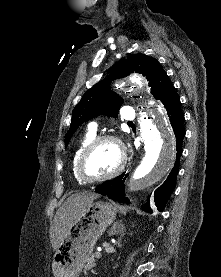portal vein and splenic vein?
Wrapping results in <instances>:
<instances>
[{"label":"portal vein and splenic vein","mask_w":221,"mask_h":277,"mask_svg":"<svg viewBox=\"0 0 221 277\" xmlns=\"http://www.w3.org/2000/svg\"><path fill=\"white\" fill-rule=\"evenodd\" d=\"M95 254H96V256H98V257L101 255V253H100L99 251H97Z\"/></svg>","instance_id":"obj_1"}]
</instances>
